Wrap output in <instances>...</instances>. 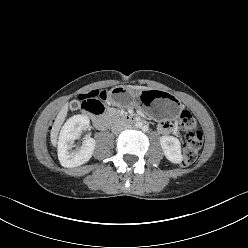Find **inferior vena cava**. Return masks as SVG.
<instances>
[{
  "instance_id": "602c4592",
  "label": "inferior vena cava",
  "mask_w": 248,
  "mask_h": 248,
  "mask_svg": "<svg viewBox=\"0 0 248 248\" xmlns=\"http://www.w3.org/2000/svg\"><path fill=\"white\" fill-rule=\"evenodd\" d=\"M131 128V126L129 124L123 123V122H116L115 124H113L112 126V132L113 133H120L125 129H129Z\"/></svg>"
}]
</instances>
